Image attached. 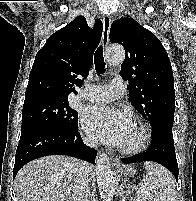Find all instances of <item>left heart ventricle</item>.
I'll use <instances>...</instances> for the list:
<instances>
[{
	"mask_svg": "<svg viewBox=\"0 0 196 201\" xmlns=\"http://www.w3.org/2000/svg\"><path fill=\"white\" fill-rule=\"evenodd\" d=\"M138 139H139V129L135 124H133L121 146L130 147L134 145L138 141Z\"/></svg>",
	"mask_w": 196,
	"mask_h": 201,
	"instance_id": "b2bd125f",
	"label": "left heart ventricle"
}]
</instances>
